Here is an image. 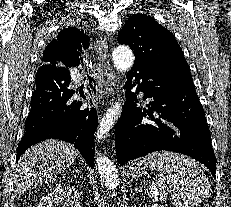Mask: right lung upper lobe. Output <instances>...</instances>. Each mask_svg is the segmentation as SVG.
Returning a JSON list of instances; mask_svg holds the SVG:
<instances>
[{
  "instance_id": "right-lung-upper-lobe-1",
  "label": "right lung upper lobe",
  "mask_w": 231,
  "mask_h": 207,
  "mask_svg": "<svg viewBox=\"0 0 231 207\" xmlns=\"http://www.w3.org/2000/svg\"><path fill=\"white\" fill-rule=\"evenodd\" d=\"M89 39L77 38L61 31L57 39L52 40L43 52V65L72 67L80 63L79 55Z\"/></svg>"
}]
</instances>
